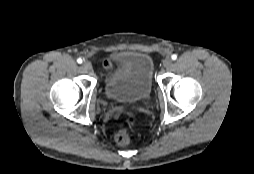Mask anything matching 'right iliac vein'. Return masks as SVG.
Returning a JSON list of instances; mask_svg holds the SVG:
<instances>
[{
	"mask_svg": "<svg viewBox=\"0 0 254 174\" xmlns=\"http://www.w3.org/2000/svg\"><path fill=\"white\" fill-rule=\"evenodd\" d=\"M82 68H83L85 71H89V70L92 69V65H91L90 62L84 61V62L82 63Z\"/></svg>",
	"mask_w": 254,
	"mask_h": 174,
	"instance_id": "63e3f726",
	"label": "right iliac vein"
}]
</instances>
